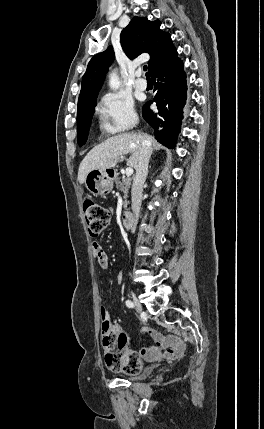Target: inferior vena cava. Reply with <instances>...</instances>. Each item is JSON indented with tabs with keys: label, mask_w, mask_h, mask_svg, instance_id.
<instances>
[{
	"label": "inferior vena cava",
	"mask_w": 264,
	"mask_h": 429,
	"mask_svg": "<svg viewBox=\"0 0 264 429\" xmlns=\"http://www.w3.org/2000/svg\"><path fill=\"white\" fill-rule=\"evenodd\" d=\"M151 152L152 150L150 145L146 142H143L140 158L136 166V175L132 185V211L135 216L133 218L134 223L131 225L133 228L136 226L135 224H139L138 216L142 204L143 185L148 174V163ZM129 231L132 233L134 230L131 228Z\"/></svg>",
	"instance_id": "obj_1"
}]
</instances>
